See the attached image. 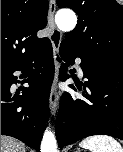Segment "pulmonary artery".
<instances>
[{"mask_svg": "<svg viewBox=\"0 0 123 152\" xmlns=\"http://www.w3.org/2000/svg\"><path fill=\"white\" fill-rule=\"evenodd\" d=\"M77 67H78V73H79V76H80V77H83V76H84V73H83V71H82V68H81V66H80V63H79V62H77Z\"/></svg>", "mask_w": 123, "mask_h": 152, "instance_id": "pulmonary-artery-1", "label": "pulmonary artery"}]
</instances>
